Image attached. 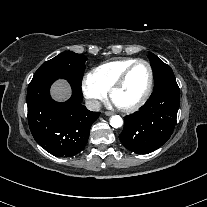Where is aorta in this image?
Masks as SVG:
<instances>
[{
	"label": "aorta",
	"mask_w": 207,
	"mask_h": 207,
	"mask_svg": "<svg viewBox=\"0 0 207 207\" xmlns=\"http://www.w3.org/2000/svg\"><path fill=\"white\" fill-rule=\"evenodd\" d=\"M110 125L113 128H119L123 125V120L119 115H114L110 119Z\"/></svg>",
	"instance_id": "1"
}]
</instances>
